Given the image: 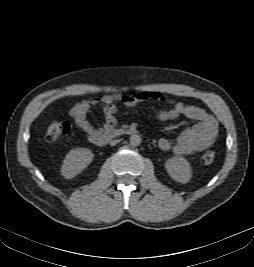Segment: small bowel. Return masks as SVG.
<instances>
[{"mask_svg":"<svg viewBox=\"0 0 254 267\" xmlns=\"http://www.w3.org/2000/svg\"><path fill=\"white\" fill-rule=\"evenodd\" d=\"M150 99L164 100L165 97L160 92L140 91L135 94L120 96L108 94L101 98L82 100L76 103L70 110V115L75 124L89 136L112 130L116 123L117 101H121L126 107H135L138 104ZM171 107L159 111L158 118L161 121L174 120L180 116L196 121V124L183 130L175 142L168 139H160L159 147L163 151H172L176 155H190L201 152L210 147L218 132V124L215 118L204 109L183 104L181 102L169 101ZM100 106L104 115V125L102 128H95L87 119L91 108Z\"/></svg>","mask_w":254,"mask_h":267,"instance_id":"1","label":"small bowel"}]
</instances>
